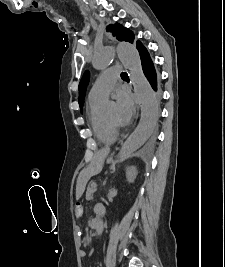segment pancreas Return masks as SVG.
Here are the masks:
<instances>
[{
    "mask_svg": "<svg viewBox=\"0 0 225 267\" xmlns=\"http://www.w3.org/2000/svg\"><path fill=\"white\" fill-rule=\"evenodd\" d=\"M95 185L93 182H91L87 188V191H86V199L87 200H91L93 198V194L95 192Z\"/></svg>",
    "mask_w": 225,
    "mask_h": 267,
    "instance_id": "cf45deb5",
    "label": "pancreas"
}]
</instances>
